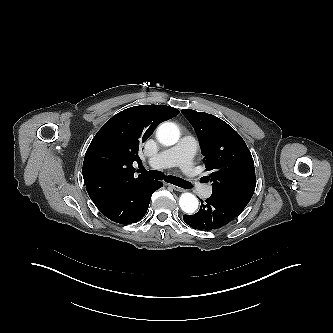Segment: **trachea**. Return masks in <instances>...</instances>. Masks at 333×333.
Segmentation results:
<instances>
[{
  "label": "trachea",
  "instance_id": "trachea-1",
  "mask_svg": "<svg viewBox=\"0 0 333 333\" xmlns=\"http://www.w3.org/2000/svg\"><path fill=\"white\" fill-rule=\"evenodd\" d=\"M138 172L142 173L145 176H148L152 179H156V180H163L164 179L166 182L174 184L178 187H182V188H185V189L192 188L191 183H189L188 181H185L181 178H177L175 176H164V174L161 171H156V170L147 171L143 167H140Z\"/></svg>",
  "mask_w": 333,
  "mask_h": 333
}]
</instances>
